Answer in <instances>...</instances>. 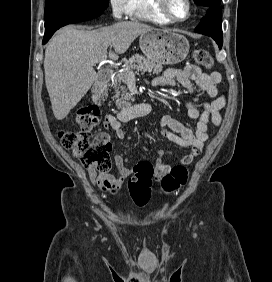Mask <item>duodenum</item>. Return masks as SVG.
<instances>
[{
	"mask_svg": "<svg viewBox=\"0 0 272 282\" xmlns=\"http://www.w3.org/2000/svg\"><path fill=\"white\" fill-rule=\"evenodd\" d=\"M112 78V72L105 70L98 74L97 76V82L91 87V93L95 100H99L101 93L103 92L105 86L110 82ZM143 107H150L149 104L144 103L142 104ZM135 111V108L132 107L128 102L123 103L122 110L119 113V115L123 117H129L133 112Z\"/></svg>",
	"mask_w": 272,
	"mask_h": 282,
	"instance_id": "1",
	"label": "duodenum"
}]
</instances>
